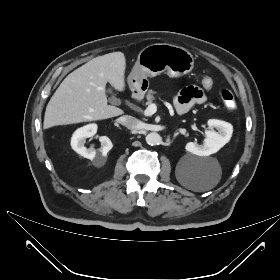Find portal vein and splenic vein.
Masks as SVG:
<instances>
[{"instance_id": "obj_1", "label": "portal vein and splenic vein", "mask_w": 280, "mask_h": 280, "mask_svg": "<svg viewBox=\"0 0 280 280\" xmlns=\"http://www.w3.org/2000/svg\"><path fill=\"white\" fill-rule=\"evenodd\" d=\"M157 111V105L155 103L150 104L143 112L145 116H151Z\"/></svg>"}]
</instances>
